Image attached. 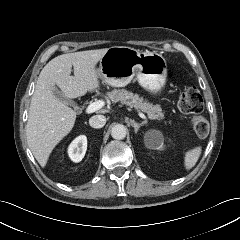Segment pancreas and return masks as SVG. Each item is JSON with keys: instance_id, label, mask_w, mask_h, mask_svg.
<instances>
[{"instance_id": "1", "label": "pancreas", "mask_w": 240, "mask_h": 240, "mask_svg": "<svg viewBox=\"0 0 240 240\" xmlns=\"http://www.w3.org/2000/svg\"><path fill=\"white\" fill-rule=\"evenodd\" d=\"M107 95L108 99H110L113 103L121 102V104H126L130 108L134 107L138 111L146 113L150 119H164V113L158 105L149 103L138 94H133L125 89H114L111 92H108Z\"/></svg>"}]
</instances>
